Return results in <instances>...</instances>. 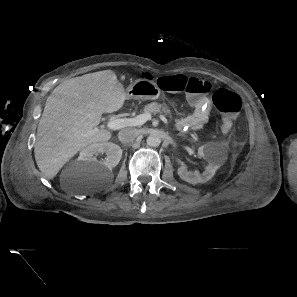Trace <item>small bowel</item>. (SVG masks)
Masks as SVG:
<instances>
[{"label": "small bowel", "mask_w": 297, "mask_h": 297, "mask_svg": "<svg viewBox=\"0 0 297 297\" xmlns=\"http://www.w3.org/2000/svg\"><path fill=\"white\" fill-rule=\"evenodd\" d=\"M190 104L194 107V113L177 121V128L180 130H199L208 122L211 110L209 98H202L198 101L191 99Z\"/></svg>", "instance_id": "c3829d8e"}]
</instances>
